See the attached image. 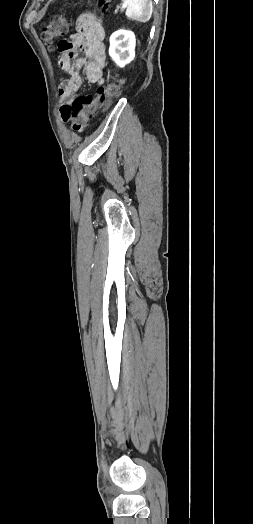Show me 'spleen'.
<instances>
[{"instance_id":"3e777b00","label":"spleen","mask_w":253,"mask_h":524,"mask_svg":"<svg viewBox=\"0 0 253 524\" xmlns=\"http://www.w3.org/2000/svg\"><path fill=\"white\" fill-rule=\"evenodd\" d=\"M126 6V16L137 22L146 23L149 21L153 7L150 0H122Z\"/></svg>"}]
</instances>
